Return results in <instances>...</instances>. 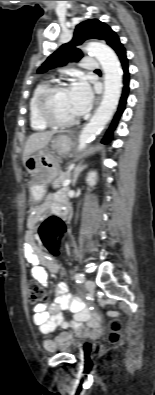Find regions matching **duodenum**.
Listing matches in <instances>:
<instances>
[{
  "label": "duodenum",
  "instance_id": "obj_1",
  "mask_svg": "<svg viewBox=\"0 0 155 395\" xmlns=\"http://www.w3.org/2000/svg\"><path fill=\"white\" fill-rule=\"evenodd\" d=\"M59 215L65 216L66 215V209H62Z\"/></svg>",
  "mask_w": 155,
  "mask_h": 395
}]
</instances>
